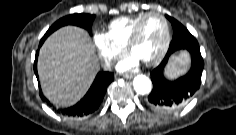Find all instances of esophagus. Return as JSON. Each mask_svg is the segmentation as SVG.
I'll use <instances>...</instances> for the list:
<instances>
[{
  "label": "esophagus",
  "mask_w": 236,
  "mask_h": 135,
  "mask_svg": "<svg viewBox=\"0 0 236 135\" xmlns=\"http://www.w3.org/2000/svg\"><path fill=\"white\" fill-rule=\"evenodd\" d=\"M124 77H125L126 79H131V78L134 77V74H133V73H126V74H124Z\"/></svg>",
  "instance_id": "1"
}]
</instances>
